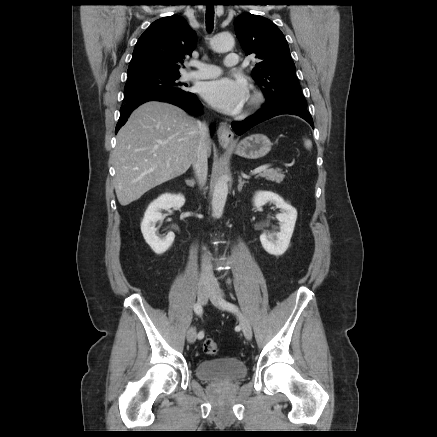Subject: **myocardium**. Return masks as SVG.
<instances>
[{
    "instance_id": "myocardium-1",
    "label": "myocardium",
    "mask_w": 437,
    "mask_h": 437,
    "mask_svg": "<svg viewBox=\"0 0 437 437\" xmlns=\"http://www.w3.org/2000/svg\"><path fill=\"white\" fill-rule=\"evenodd\" d=\"M262 101H263L262 95L259 92L254 91L248 99L247 110L252 111V110L258 108L260 106V104L262 103Z\"/></svg>"
}]
</instances>
